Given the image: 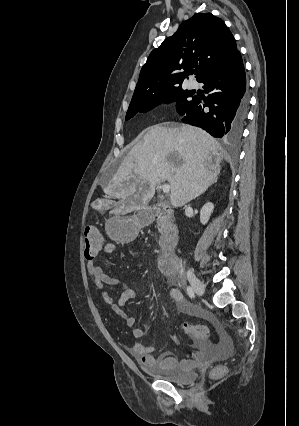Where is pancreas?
<instances>
[{"mask_svg": "<svg viewBox=\"0 0 299 426\" xmlns=\"http://www.w3.org/2000/svg\"><path fill=\"white\" fill-rule=\"evenodd\" d=\"M157 223H158V226H159V228H158V230H159V232L160 233H163V232H165V230H166V223H165V221H164V218L163 217H159L158 219H157Z\"/></svg>", "mask_w": 299, "mask_h": 426, "instance_id": "cf45deb5", "label": "pancreas"}]
</instances>
